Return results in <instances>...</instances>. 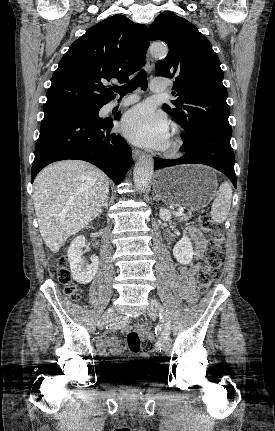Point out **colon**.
Returning <instances> with one entry per match:
<instances>
[{
  "label": "colon",
  "mask_w": 275,
  "mask_h": 431,
  "mask_svg": "<svg viewBox=\"0 0 275 431\" xmlns=\"http://www.w3.org/2000/svg\"><path fill=\"white\" fill-rule=\"evenodd\" d=\"M196 223L208 235L205 259L197 274L199 291L204 293L217 278L218 270L224 261V234L220 226L215 224L207 213H200L197 216ZM58 278L64 285L65 294L73 301H79L81 295L72 283L65 258L59 260ZM127 346L132 353H141L146 356L152 350L153 343L150 340L142 341L138 333L132 330L127 334Z\"/></svg>",
  "instance_id": "obj_1"
}]
</instances>
